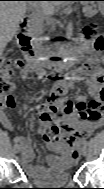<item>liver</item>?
Masks as SVG:
<instances>
[{
  "mask_svg": "<svg viewBox=\"0 0 104 189\" xmlns=\"http://www.w3.org/2000/svg\"><path fill=\"white\" fill-rule=\"evenodd\" d=\"M27 1H1L0 3V48L3 50L7 43L15 36L19 22L26 11ZM49 2H42L40 6L48 11L51 5ZM57 3V2H51Z\"/></svg>",
  "mask_w": 104,
  "mask_h": 189,
  "instance_id": "6515ba94",
  "label": "liver"
}]
</instances>
